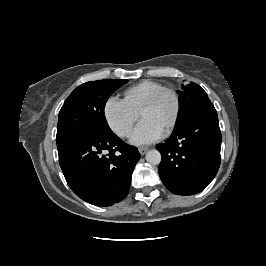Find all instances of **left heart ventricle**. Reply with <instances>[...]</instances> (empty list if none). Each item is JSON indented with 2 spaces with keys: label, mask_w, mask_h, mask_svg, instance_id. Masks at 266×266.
<instances>
[{
  "label": "left heart ventricle",
  "mask_w": 266,
  "mask_h": 266,
  "mask_svg": "<svg viewBox=\"0 0 266 266\" xmlns=\"http://www.w3.org/2000/svg\"><path fill=\"white\" fill-rule=\"evenodd\" d=\"M175 100L169 93H165L156 104L142 112V119H151L163 129L167 126L174 115Z\"/></svg>",
  "instance_id": "left-heart-ventricle-1"
}]
</instances>
